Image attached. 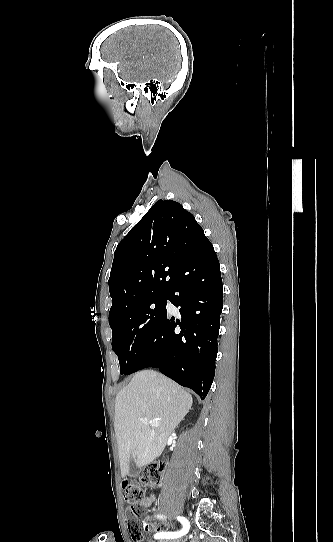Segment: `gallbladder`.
I'll list each match as a JSON object with an SVG mask.
<instances>
[{
    "label": "gallbladder",
    "instance_id": "bac80fb5",
    "mask_svg": "<svg viewBox=\"0 0 333 542\" xmlns=\"http://www.w3.org/2000/svg\"><path fill=\"white\" fill-rule=\"evenodd\" d=\"M141 468H137L135 464V458H130L129 462V476H132V478H135V476H138L140 474Z\"/></svg>",
    "mask_w": 333,
    "mask_h": 542
}]
</instances>
